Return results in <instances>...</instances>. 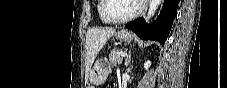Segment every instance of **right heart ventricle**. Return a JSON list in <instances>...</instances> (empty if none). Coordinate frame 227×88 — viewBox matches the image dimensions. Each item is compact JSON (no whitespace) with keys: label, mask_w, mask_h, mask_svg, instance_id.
<instances>
[{"label":"right heart ventricle","mask_w":227,"mask_h":88,"mask_svg":"<svg viewBox=\"0 0 227 88\" xmlns=\"http://www.w3.org/2000/svg\"><path fill=\"white\" fill-rule=\"evenodd\" d=\"M98 11H99L100 19H101L102 21L106 22V21L104 20V18L102 17L101 13H100V9H98Z\"/></svg>","instance_id":"right-heart-ventricle-1"}]
</instances>
